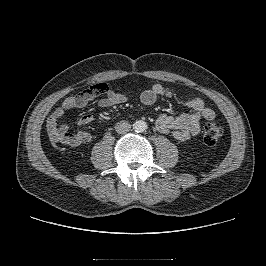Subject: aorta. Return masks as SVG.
<instances>
[{
  "mask_svg": "<svg viewBox=\"0 0 266 266\" xmlns=\"http://www.w3.org/2000/svg\"><path fill=\"white\" fill-rule=\"evenodd\" d=\"M133 128H134L135 132L142 133L147 129V123L143 120H137L133 124Z\"/></svg>",
  "mask_w": 266,
  "mask_h": 266,
  "instance_id": "762f6f07",
  "label": "aorta"
}]
</instances>
